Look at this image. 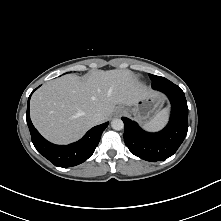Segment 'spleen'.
Returning a JSON list of instances; mask_svg holds the SVG:
<instances>
[{
	"instance_id": "3e777b00",
	"label": "spleen",
	"mask_w": 221,
	"mask_h": 221,
	"mask_svg": "<svg viewBox=\"0 0 221 221\" xmlns=\"http://www.w3.org/2000/svg\"><path fill=\"white\" fill-rule=\"evenodd\" d=\"M168 116V109L164 108L159 113H157L149 122L144 125V128L151 131H156L161 129L166 121Z\"/></svg>"
}]
</instances>
